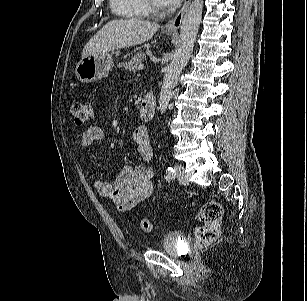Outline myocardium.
I'll use <instances>...</instances> for the list:
<instances>
[{
    "label": "myocardium",
    "mask_w": 307,
    "mask_h": 301,
    "mask_svg": "<svg viewBox=\"0 0 307 301\" xmlns=\"http://www.w3.org/2000/svg\"><path fill=\"white\" fill-rule=\"evenodd\" d=\"M146 7L148 9V11H151L153 13H157L156 8H155V4L153 3L152 0H144Z\"/></svg>",
    "instance_id": "obj_1"
}]
</instances>
